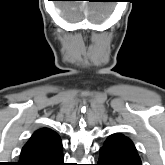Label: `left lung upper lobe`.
<instances>
[{"instance_id": "1", "label": "left lung upper lobe", "mask_w": 165, "mask_h": 165, "mask_svg": "<svg viewBox=\"0 0 165 165\" xmlns=\"http://www.w3.org/2000/svg\"><path fill=\"white\" fill-rule=\"evenodd\" d=\"M102 149L121 163L142 165L133 142L121 134L111 135Z\"/></svg>"}]
</instances>
